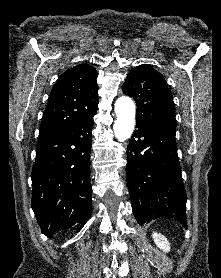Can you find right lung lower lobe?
<instances>
[{
    "label": "right lung lower lobe",
    "mask_w": 221,
    "mask_h": 278,
    "mask_svg": "<svg viewBox=\"0 0 221 278\" xmlns=\"http://www.w3.org/2000/svg\"><path fill=\"white\" fill-rule=\"evenodd\" d=\"M38 144L32 170V209L47 237L80 230L91 215L90 150L93 117Z\"/></svg>",
    "instance_id": "right-lung-lower-lobe-1"
}]
</instances>
